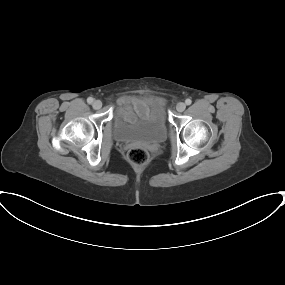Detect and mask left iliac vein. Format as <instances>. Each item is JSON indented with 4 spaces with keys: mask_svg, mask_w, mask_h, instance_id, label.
I'll return each mask as SVG.
<instances>
[{
    "mask_svg": "<svg viewBox=\"0 0 285 285\" xmlns=\"http://www.w3.org/2000/svg\"><path fill=\"white\" fill-rule=\"evenodd\" d=\"M186 108V105L185 103L183 102H179L177 105H176V109L178 112H183Z\"/></svg>",
    "mask_w": 285,
    "mask_h": 285,
    "instance_id": "left-iliac-vein-1",
    "label": "left iliac vein"
}]
</instances>
